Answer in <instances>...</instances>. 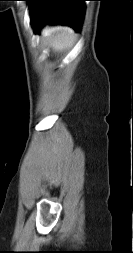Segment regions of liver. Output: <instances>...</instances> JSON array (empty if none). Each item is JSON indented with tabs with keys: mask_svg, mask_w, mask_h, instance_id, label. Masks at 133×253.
Segmentation results:
<instances>
[{
	"mask_svg": "<svg viewBox=\"0 0 133 253\" xmlns=\"http://www.w3.org/2000/svg\"><path fill=\"white\" fill-rule=\"evenodd\" d=\"M41 35L53 52L57 53L70 48L75 40V33L70 27L46 26L43 28Z\"/></svg>",
	"mask_w": 133,
	"mask_h": 253,
	"instance_id": "liver-1",
	"label": "liver"
}]
</instances>
